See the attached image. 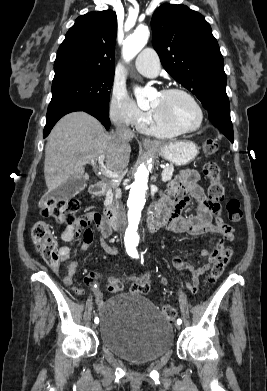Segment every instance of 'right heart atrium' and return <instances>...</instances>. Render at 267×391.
I'll use <instances>...</instances> for the list:
<instances>
[{
  "label": "right heart atrium",
  "instance_id": "obj_1",
  "mask_svg": "<svg viewBox=\"0 0 267 391\" xmlns=\"http://www.w3.org/2000/svg\"><path fill=\"white\" fill-rule=\"evenodd\" d=\"M109 116L118 125L139 128L150 117L122 90L114 88L109 102Z\"/></svg>",
  "mask_w": 267,
  "mask_h": 391
}]
</instances>
